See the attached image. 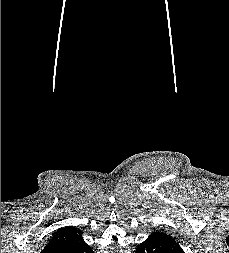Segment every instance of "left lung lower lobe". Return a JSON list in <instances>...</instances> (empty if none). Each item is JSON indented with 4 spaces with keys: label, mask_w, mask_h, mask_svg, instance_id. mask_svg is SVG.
Here are the masks:
<instances>
[{
    "label": "left lung lower lobe",
    "mask_w": 229,
    "mask_h": 253,
    "mask_svg": "<svg viewBox=\"0 0 229 253\" xmlns=\"http://www.w3.org/2000/svg\"><path fill=\"white\" fill-rule=\"evenodd\" d=\"M135 253H184V251L174 239L148 237L138 245Z\"/></svg>",
    "instance_id": "0a47b994"
}]
</instances>
